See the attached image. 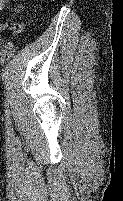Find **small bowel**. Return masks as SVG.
Here are the masks:
<instances>
[{
    "instance_id": "obj_1",
    "label": "small bowel",
    "mask_w": 123,
    "mask_h": 201,
    "mask_svg": "<svg viewBox=\"0 0 123 201\" xmlns=\"http://www.w3.org/2000/svg\"><path fill=\"white\" fill-rule=\"evenodd\" d=\"M7 2L8 0H0V10ZM4 30H10L14 36H18L23 30V25L19 22L0 23V32Z\"/></svg>"
}]
</instances>
